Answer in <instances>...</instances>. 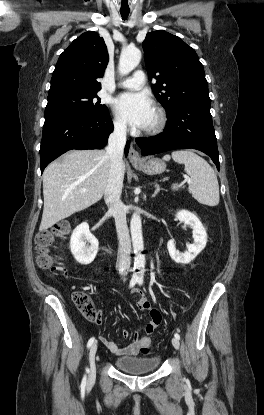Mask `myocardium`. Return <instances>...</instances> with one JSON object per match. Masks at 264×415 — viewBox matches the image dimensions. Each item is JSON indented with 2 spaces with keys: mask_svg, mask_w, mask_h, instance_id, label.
I'll return each instance as SVG.
<instances>
[{
  "mask_svg": "<svg viewBox=\"0 0 264 415\" xmlns=\"http://www.w3.org/2000/svg\"><path fill=\"white\" fill-rule=\"evenodd\" d=\"M154 112L156 114V120L154 124L150 127H146L144 129V134L146 135H155L159 132H161L165 125H166V113L163 108L156 106L154 109Z\"/></svg>",
  "mask_w": 264,
  "mask_h": 415,
  "instance_id": "f54148a6",
  "label": "myocardium"
}]
</instances>
